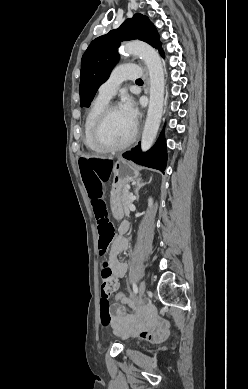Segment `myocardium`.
<instances>
[{
    "label": "myocardium",
    "instance_id": "1",
    "mask_svg": "<svg viewBox=\"0 0 248 389\" xmlns=\"http://www.w3.org/2000/svg\"><path fill=\"white\" fill-rule=\"evenodd\" d=\"M116 108H119V105L117 103H108L99 114L93 127V132H92L93 141L102 151L105 152H116V151L123 150L128 146H130L134 142L137 136V127L135 125L130 137L120 144H111L104 139L103 136L104 127L106 125L110 113Z\"/></svg>",
    "mask_w": 248,
    "mask_h": 389
}]
</instances>
